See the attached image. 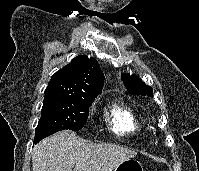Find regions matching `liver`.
<instances>
[{
	"mask_svg": "<svg viewBox=\"0 0 199 171\" xmlns=\"http://www.w3.org/2000/svg\"><path fill=\"white\" fill-rule=\"evenodd\" d=\"M136 153L113 144H90L64 130L40 141L33 149V171H113Z\"/></svg>",
	"mask_w": 199,
	"mask_h": 171,
	"instance_id": "1",
	"label": "liver"
}]
</instances>
